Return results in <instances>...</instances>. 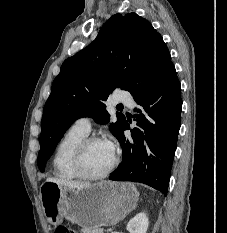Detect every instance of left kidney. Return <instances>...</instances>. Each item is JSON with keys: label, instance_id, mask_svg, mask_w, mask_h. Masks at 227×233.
<instances>
[{"label": "left kidney", "instance_id": "left-kidney-1", "mask_svg": "<svg viewBox=\"0 0 227 233\" xmlns=\"http://www.w3.org/2000/svg\"><path fill=\"white\" fill-rule=\"evenodd\" d=\"M148 226V217L145 213L141 212L128 222L127 230L129 233H146Z\"/></svg>", "mask_w": 227, "mask_h": 233}]
</instances>
